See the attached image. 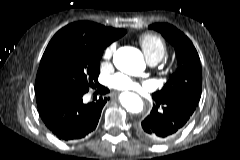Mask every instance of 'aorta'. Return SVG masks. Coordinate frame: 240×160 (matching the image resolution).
<instances>
[{
  "label": "aorta",
  "instance_id": "1",
  "mask_svg": "<svg viewBox=\"0 0 240 160\" xmlns=\"http://www.w3.org/2000/svg\"><path fill=\"white\" fill-rule=\"evenodd\" d=\"M113 62L119 70L132 74L140 72L144 67L142 53L133 47L119 48L113 55ZM120 102L124 108L133 113H138L143 108L141 98L135 93H122Z\"/></svg>",
  "mask_w": 240,
  "mask_h": 160
}]
</instances>
